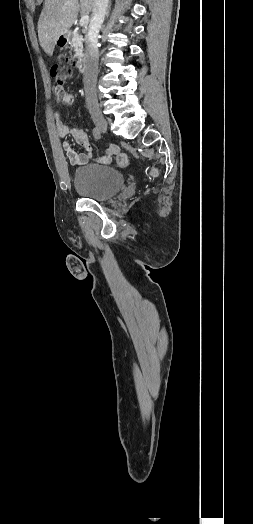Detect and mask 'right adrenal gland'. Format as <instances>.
<instances>
[{
    "mask_svg": "<svg viewBox=\"0 0 253 524\" xmlns=\"http://www.w3.org/2000/svg\"><path fill=\"white\" fill-rule=\"evenodd\" d=\"M110 7H111V4H109L108 9H107V13H106L107 17L109 16V13H110Z\"/></svg>",
    "mask_w": 253,
    "mask_h": 524,
    "instance_id": "1",
    "label": "right adrenal gland"
}]
</instances>
